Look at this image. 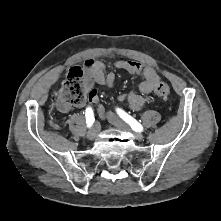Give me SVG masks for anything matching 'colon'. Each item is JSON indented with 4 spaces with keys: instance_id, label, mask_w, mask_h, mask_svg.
I'll return each mask as SVG.
<instances>
[{
    "instance_id": "colon-1",
    "label": "colon",
    "mask_w": 221,
    "mask_h": 221,
    "mask_svg": "<svg viewBox=\"0 0 221 221\" xmlns=\"http://www.w3.org/2000/svg\"><path fill=\"white\" fill-rule=\"evenodd\" d=\"M91 86L90 74L80 67H72L62 83L60 100L72 106H80L87 100ZM154 93L158 98L166 100L169 98L170 88L167 83L159 82Z\"/></svg>"
}]
</instances>
